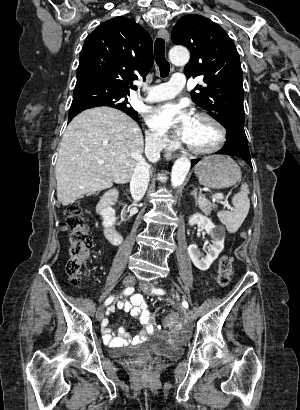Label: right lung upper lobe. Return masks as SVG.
I'll return each instance as SVG.
<instances>
[{
    "label": "right lung upper lobe",
    "mask_w": 300,
    "mask_h": 410,
    "mask_svg": "<svg viewBox=\"0 0 300 410\" xmlns=\"http://www.w3.org/2000/svg\"><path fill=\"white\" fill-rule=\"evenodd\" d=\"M153 64V42L135 21L112 18L85 40L77 83H98L128 93L136 90L137 74L146 77Z\"/></svg>",
    "instance_id": "cb5924a9"
}]
</instances>
